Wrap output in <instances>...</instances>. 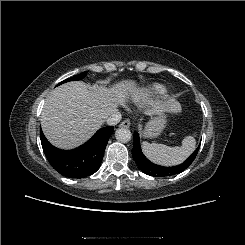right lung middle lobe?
Here are the masks:
<instances>
[{
  "label": "right lung middle lobe",
  "mask_w": 245,
  "mask_h": 245,
  "mask_svg": "<svg viewBox=\"0 0 245 245\" xmlns=\"http://www.w3.org/2000/svg\"><path fill=\"white\" fill-rule=\"evenodd\" d=\"M87 72H83L79 75H76L74 77L68 78L66 80H64L63 82H61L60 84L64 83V82H68V81H74V80H80L82 78H84L86 76Z\"/></svg>",
  "instance_id": "1"
}]
</instances>
